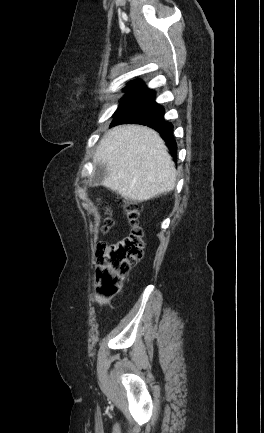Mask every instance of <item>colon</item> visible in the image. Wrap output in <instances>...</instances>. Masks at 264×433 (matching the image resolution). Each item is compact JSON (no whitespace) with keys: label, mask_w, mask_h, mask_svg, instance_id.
<instances>
[{"label":"colon","mask_w":264,"mask_h":433,"mask_svg":"<svg viewBox=\"0 0 264 433\" xmlns=\"http://www.w3.org/2000/svg\"><path fill=\"white\" fill-rule=\"evenodd\" d=\"M123 208L131 227L129 234L117 242L99 244L96 252L97 291L106 299L119 293L123 278L144 252V232L139 225L141 205L134 201H124ZM111 225V219L106 218L103 230L107 231Z\"/></svg>","instance_id":"colon-1"}]
</instances>
